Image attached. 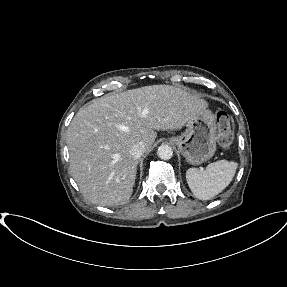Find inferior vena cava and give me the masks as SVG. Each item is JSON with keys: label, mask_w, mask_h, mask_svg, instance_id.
<instances>
[{"label": "inferior vena cava", "mask_w": 287, "mask_h": 287, "mask_svg": "<svg viewBox=\"0 0 287 287\" xmlns=\"http://www.w3.org/2000/svg\"><path fill=\"white\" fill-rule=\"evenodd\" d=\"M145 152V145L143 142H138L133 145V147L130 150V154L135 159H139Z\"/></svg>", "instance_id": "inferior-vena-cava-1"}]
</instances>
